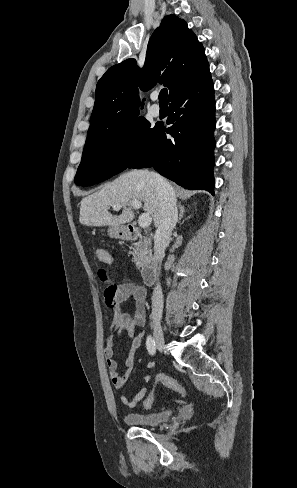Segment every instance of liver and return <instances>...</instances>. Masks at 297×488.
Returning <instances> with one entry per match:
<instances>
[{
    "label": "liver",
    "instance_id": "obj_1",
    "mask_svg": "<svg viewBox=\"0 0 297 488\" xmlns=\"http://www.w3.org/2000/svg\"><path fill=\"white\" fill-rule=\"evenodd\" d=\"M132 200L143 202V210L152 216L154 224L158 226L161 200L151 173L147 170L124 173L99 191L83 198L79 221L86 226H122L134 218L130 207ZM114 204L123 207L118 216L108 211Z\"/></svg>",
    "mask_w": 297,
    "mask_h": 488
}]
</instances>
